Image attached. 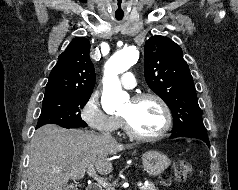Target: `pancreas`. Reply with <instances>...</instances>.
I'll return each mask as SVG.
<instances>
[{
    "instance_id": "obj_1",
    "label": "pancreas",
    "mask_w": 238,
    "mask_h": 190,
    "mask_svg": "<svg viewBox=\"0 0 238 190\" xmlns=\"http://www.w3.org/2000/svg\"><path fill=\"white\" fill-rule=\"evenodd\" d=\"M101 190H114L112 187H104V189ZM140 190H157L155 188V185L150 183L148 186H142L140 187Z\"/></svg>"
}]
</instances>
